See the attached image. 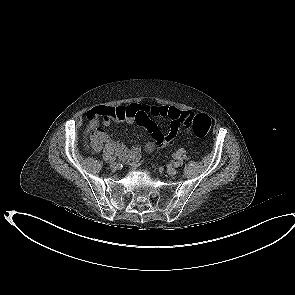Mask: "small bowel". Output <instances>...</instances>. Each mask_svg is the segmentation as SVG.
<instances>
[{
  "label": "small bowel",
  "instance_id": "obj_1",
  "mask_svg": "<svg viewBox=\"0 0 295 295\" xmlns=\"http://www.w3.org/2000/svg\"><path fill=\"white\" fill-rule=\"evenodd\" d=\"M182 114L190 115L192 113L169 106L154 107L140 103L117 107L100 106L94 108L87 113L90 126L95 128L91 139V150L93 152H99L103 144H106L109 149L116 152L120 159L130 165H135L140 159L141 149L137 146L127 148L124 144L113 141L105 130L98 127L99 118L104 119L103 123L106 126L120 121L128 124L138 123L148 130L151 134V140L157 142V147H166L174 143L181 131L182 125L179 117ZM157 119L168 121L169 128L166 133L161 130L156 121Z\"/></svg>",
  "mask_w": 295,
  "mask_h": 295
}]
</instances>
